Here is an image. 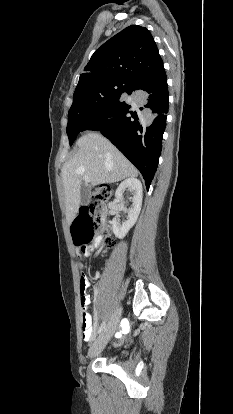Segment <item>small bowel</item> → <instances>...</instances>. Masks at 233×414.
I'll list each match as a JSON object with an SVG mask.
<instances>
[{
	"instance_id": "small-bowel-1",
	"label": "small bowel",
	"mask_w": 233,
	"mask_h": 414,
	"mask_svg": "<svg viewBox=\"0 0 233 414\" xmlns=\"http://www.w3.org/2000/svg\"><path fill=\"white\" fill-rule=\"evenodd\" d=\"M93 250V246L84 247L81 251L85 256H88L91 251ZM80 276V289L82 292L81 296V308H82V315H81V325H82V337L85 341L90 342L93 340L95 335V329L92 323V316L88 310V307L91 303V297L86 294V290L89 289V281H88V272L85 269L79 271ZM129 328V323L127 322L125 326H123V330H127Z\"/></svg>"
}]
</instances>
